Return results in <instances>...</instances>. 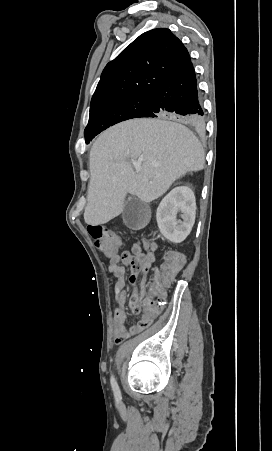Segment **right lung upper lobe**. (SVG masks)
<instances>
[{"instance_id":"1","label":"right lung upper lobe","mask_w":272,"mask_h":451,"mask_svg":"<svg viewBox=\"0 0 272 451\" xmlns=\"http://www.w3.org/2000/svg\"><path fill=\"white\" fill-rule=\"evenodd\" d=\"M189 61L187 49L170 30L145 32L106 65L90 107L119 97L150 96Z\"/></svg>"}]
</instances>
